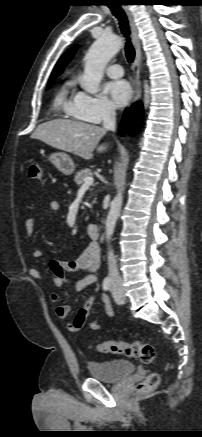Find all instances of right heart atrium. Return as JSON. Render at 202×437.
Returning a JSON list of instances; mask_svg holds the SVG:
<instances>
[{
	"instance_id": "d8ad5b80",
	"label": "right heart atrium",
	"mask_w": 202,
	"mask_h": 437,
	"mask_svg": "<svg viewBox=\"0 0 202 437\" xmlns=\"http://www.w3.org/2000/svg\"><path fill=\"white\" fill-rule=\"evenodd\" d=\"M72 110L77 118L93 123L115 115V106L105 95H92L83 91L74 96Z\"/></svg>"
}]
</instances>
